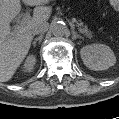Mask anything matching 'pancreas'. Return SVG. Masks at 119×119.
I'll use <instances>...</instances> for the list:
<instances>
[{
  "instance_id": "cf45deb5",
  "label": "pancreas",
  "mask_w": 119,
  "mask_h": 119,
  "mask_svg": "<svg viewBox=\"0 0 119 119\" xmlns=\"http://www.w3.org/2000/svg\"><path fill=\"white\" fill-rule=\"evenodd\" d=\"M77 26L80 33L84 34L88 38L92 36V33L88 30L87 26H83L82 22L78 23Z\"/></svg>"
}]
</instances>
